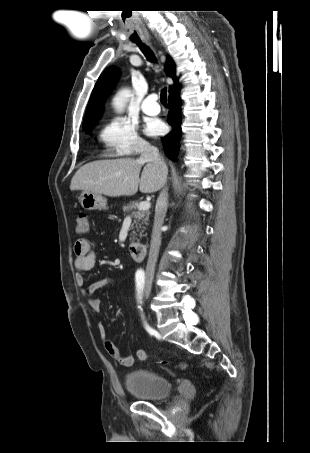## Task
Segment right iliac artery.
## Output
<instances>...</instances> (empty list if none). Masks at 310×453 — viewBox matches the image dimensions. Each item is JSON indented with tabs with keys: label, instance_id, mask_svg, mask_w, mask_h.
I'll return each instance as SVG.
<instances>
[{
	"label": "right iliac artery",
	"instance_id": "1",
	"mask_svg": "<svg viewBox=\"0 0 310 453\" xmlns=\"http://www.w3.org/2000/svg\"><path fill=\"white\" fill-rule=\"evenodd\" d=\"M135 278H136L137 299L139 303H142V292L145 283V275L143 272H137Z\"/></svg>",
	"mask_w": 310,
	"mask_h": 453
}]
</instances>
